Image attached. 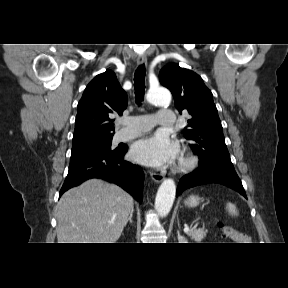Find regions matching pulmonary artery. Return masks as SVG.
Returning a JSON list of instances; mask_svg holds the SVG:
<instances>
[{
    "label": "pulmonary artery",
    "mask_w": 288,
    "mask_h": 288,
    "mask_svg": "<svg viewBox=\"0 0 288 288\" xmlns=\"http://www.w3.org/2000/svg\"><path fill=\"white\" fill-rule=\"evenodd\" d=\"M175 115L170 109H160L156 116L150 114L136 115L126 121V127L120 129L114 136V140L124 141L151 130L156 124L172 126Z\"/></svg>",
    "instance_id": "obj_1"
}]
</instances>
